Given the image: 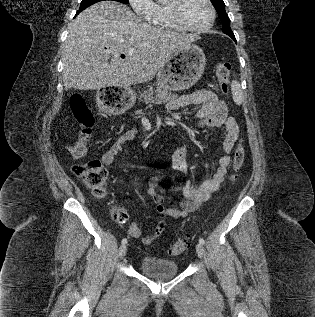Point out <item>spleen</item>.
<instances>
[{
	"instance_id": "3e777b00",
	"label": "spleen",
	"mask_w": 315,
	"mask_h": 317,
	"mask_svg": "<svg viewBox=\"0 0 315 317\" xmlns=\"http://www.w3.org/2000/svg\"><path fill=\"white\" fill-rule=\"evenodd\" d=\"M231 90L235 103L241 105L243 102V91L240 83L236 80L232 81Z\"/></svg>"
}]
</instances>
